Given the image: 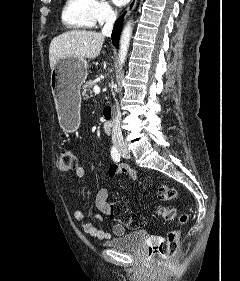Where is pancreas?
<instances>
[{"instance_id": "obj_1", "label": "pancreas", "mask_w": 240, "mask_h": 281, "mask_svg": "<svg viewBox=\"0 0 240 281\" xmlns=\"http://www.w3.org/2000/svg\"><path fill=\"white\" fill-rule=\"evenodd\" d=\"M96 85L95 82L93 81H88L84 84L83 86V91H82V95L85 97V98H89L90 94L92 93V86Z\"/></svg>"}]
</instances>
